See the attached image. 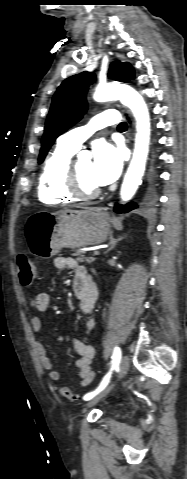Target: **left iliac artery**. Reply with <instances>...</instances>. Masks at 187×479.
I'll list each match as a JSON object with an SVG mask.
<instances>
[{
	"mask_svg": "<svg viewBox=\"0 0 187 479\" xmlns=\"http://www.w3.org/2000/svg\"><path fill=\"white\" fill-rule=\"evenodd\" d=\"M120 359H121V349L119 347H115L114 352H113V356H112L110 371L105 375V377L101 381L99 387L95 391L87 393L86 395H84V397H83L84 400L87 401V400L92 399L94 396H96L99 392H101L108 385L110 377H111L112 370L115 369V367L118 365V363L120 362Z\"/></svg>",
	"mask_w": 187,
	"mask_h": 479,
	"instance_id": "obj_1",
	"label": "left iliac artery"
}]
</instances>
